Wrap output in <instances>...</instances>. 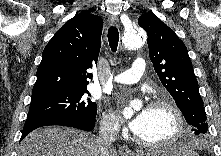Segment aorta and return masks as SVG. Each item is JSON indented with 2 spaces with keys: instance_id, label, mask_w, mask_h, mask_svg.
I'll return each mask as SVG.
<instances>
[{
  "instance_id": "aorta-1",
  "label": "aorta",
  "mask_w": 221,
  "mask_h": 156,
  "mask_svg": "<svg viewBox=\"0 0 221 156\" xmlns=\"http://www.w3.org/2000/svg\"><path fill=\"white\" fill-rule=\"evenodd\" d=\"M146 40L145 33L138 29V28H132L124 32L122 43L125 48L128 49H136L138 47H141ZM140 103L137 101H132L130 103V106L124 109V116L125 117H131L133 114V109L139 108Z\"/></svg>"
}]
</instances>
